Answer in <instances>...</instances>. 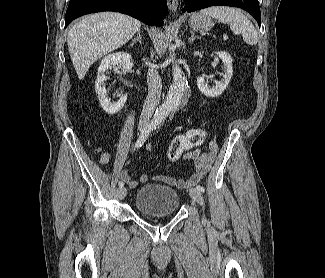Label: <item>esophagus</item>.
I'll list each match as a JSON object with an SVG mask.
<instances>
[{
	"mask_svg": "<svg viewBox=\"0 0 325 278\" xmlns=\"http://www.w3.org/2000/svg\"><path fill=\"white\" fill-rule=\"evenodd\" d=\"M168 8L172 12H176L178 8V0H167Z\"/></svg>",
	"mask_w": 325,
	"mask_h": 278,
	"instance_id": "34e87169",
	"label": "esophagus"
}]
</instances>
